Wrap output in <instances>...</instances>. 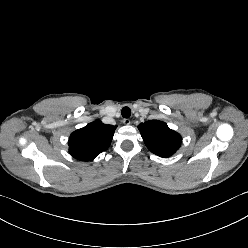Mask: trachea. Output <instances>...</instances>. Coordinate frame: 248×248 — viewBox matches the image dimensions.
Masks as SVG:
<instances>
[{"instance_id": "1", "label": "trachea", "mask_w": 248, "mask_h": 248, "mask_svg": "<svg viewBox=\"0 0 248 248\" xmlns=\"http://www.w3.org/2000/svg\"><path fill=\"white\" fill-rule=\"evenodd\" d=\"M121 114L124 118H129L131 116V110L129 107H124L121 111Z\"/></svg>"}]
</instances>
